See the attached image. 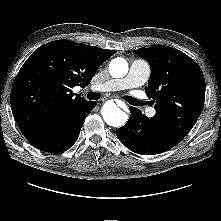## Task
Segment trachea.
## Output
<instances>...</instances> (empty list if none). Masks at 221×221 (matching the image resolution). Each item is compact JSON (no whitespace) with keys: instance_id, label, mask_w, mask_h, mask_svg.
Wrapping results in <instances>:
<instances>
[{"instance_id":"1","label":"trachea","mask_w":221,"mask_h":221,"mask_svg":"<svg viewBox=\"0 0 221 221\" xmlns=\"http://www.w3.org/2000/svg\"><path fill=\"white\" fill-rule=\"evenodd\" d=\"M87 98H88L89 100H98V99L100 98V94H99V93H96V92H89V93L87 94ZM125 100H126L129 104H131V105H133V106H143V105H147V102H146V101H140V100H138V99H136V98H133V97H131V96H126V97H125Z\"/></svg>"}]
</instances>
